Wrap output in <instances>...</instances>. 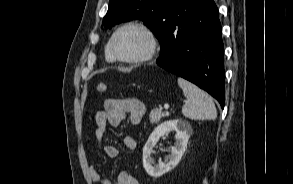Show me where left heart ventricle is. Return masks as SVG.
I'll use <instances>...</instances> for the list:
<instances>
[{"instance_id": "left-heart-ventricle-1", "label": "left heart ventricle", "mask_w": 293, "mask_h": 184, "mask_svg": "<svg viewBox=\"0 0 293 184\" xmlns=\"http://www.w3.org/2000/svg\"><path fill=\"white\" fill-rule=\"evenodd\" d=\"M114 47L117 54L121 57H138L147 51L148 38L139 29L127 28L117 35Z\"/></svg>"}]
</instances>
